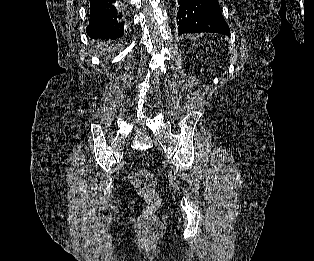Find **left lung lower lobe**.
<instances>
[{
	"mask_svg": "<svg viewBox=\"0 0 314 261\" xmlns=\"http://www.w3.org/2000/svg\"><path fill=\"white\" fill-rule=\"evenodd\" d=\"M177 23L179 35L213 32L230 35L218 0H179Z\"/></svg>",
	"mask_w": 314,
	"mask_h": 261,
	"instance_id": "left-lung-lower-lobe-1",
	"label": "left lung lower lobe"
}]
</instances>
